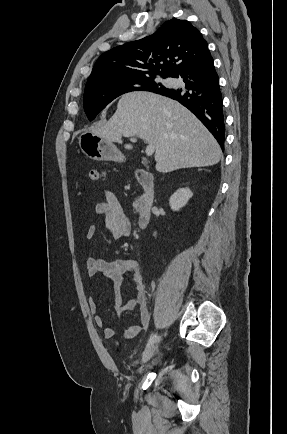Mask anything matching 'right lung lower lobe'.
<instances>
[{"mask_svg":"<svg viewBox=\"0 0 287 434\" xmlns=\"http://www.w3.org/2000/svg\"><path fill=\"white\" fill-rule=\"evenodd\" d=\"M173 78L181 79L185 86L159 90L155 93L177 100L187 107L207 127L223 149L225 140L223 99L219 77L210 53L181 70Z\"/></svg>","mask_w":287,"mask_h":434,"instance_id":"1","label":"right lung lower lobe"}]
</instances>
